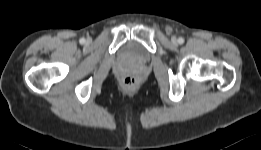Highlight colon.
I'll return each mask as SVG.
<instances>
[{
    "label": "colon",
    "instance_id": "obj_1",
    "mask_svg": "<svg viewBox=\"0 0 261 150\" xmlns=\"http://www.w3.org/2000/svg\"><path fill=\"white\" fill-rule=\"evenodd\" d=\"M123 87L127 90H134L137 87L138 81L133 76H127L123 79Z\"/></svg>",
    "mask_w": 261,
    "mask_h": 150
}]
</instances>
